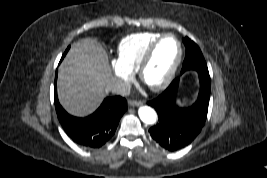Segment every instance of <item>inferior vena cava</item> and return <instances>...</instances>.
Wrapping results in <instances>:
<instances>
[{"label":"inferior vena cava","mask_w":267,"mask_h":178,"mask_svg":"<svg viewBox=\"0 0 267 178\" xmlns=\"http://www.w3.org/2000/svg\"><path fill=\"white\" fill-rule=\"evenodd\" d=\"M131 89V85L122 80H113V82L108 86V90L112 91L117 95L126 96L129 95Z\"/></svg>","instance_id":"602c4592"}]
</instances>
